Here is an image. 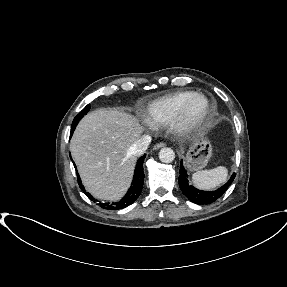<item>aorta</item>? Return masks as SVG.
<instances>
[{
    "label": "aorta",
    "instance_id": "aorta-1",
    "mask_svg": "<svg viewBox=\"0 0 287 287\" xmlns=\"http://www.w3.org/2000/svg\"><path fill=\"white\" fill-rule=\"evenodd\" d=\"M159 159L163 163H171L175 159V153L171 148H162L159 152Z\"/></svg>",
    "mask_w": 287,
    "mask_h": 287
}]
</instances>
